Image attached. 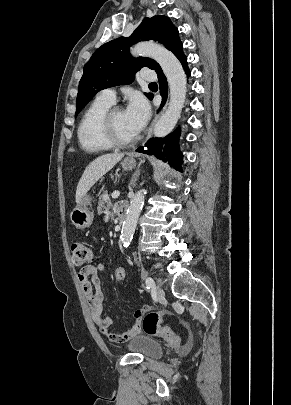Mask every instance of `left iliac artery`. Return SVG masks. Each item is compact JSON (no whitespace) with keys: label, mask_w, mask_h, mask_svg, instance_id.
<instances>
[{"label":"left iliac artery","mask_w":291,"mask_h":405,"mask_svg":"<svg viewBox=\"0 0 291 405\" xmlns=\"http://www.w3.org/2000/svg\"><path fill=\"white\" fill-rule=\"evenodd\" d=\"M145 283H146V288L148 290H151L155 287L154 280L151 277H147Z\"/></svg>","instance_id":"obj_1"}]
</instances>
